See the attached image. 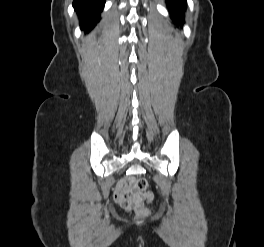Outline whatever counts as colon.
I'll list each match as a JSON object with an SVG mask.
<instances>
[{
    "mask_svg": "<svg viewBox=\"0 0 264 247\" xmlns=\"http://www.w3.org/2000/svg\"><path fill=\"white\" fill-rule=\"evenodd\" d=\"M130 186L135 191L132 194L120 197V205L125 209L134 210L138 216H148L149 209L145 205V200L152 198V194L148 192V181L145 178L131 179Z\"/></svg>",
    "mask_w": 264,
    "mask_h": 247,
    "instance_id": "1",
    "label": "colon"
}]
</instances>
